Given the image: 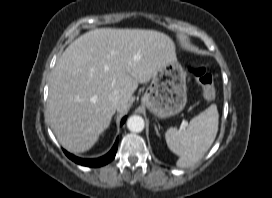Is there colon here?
<instances>
[{"label": "colon", "instance_id": "obj_1", "mask_svg": "<svg viewBox=\"0 0 272 198\" xmlns=\"http://www.w3.org/2000/svg\"><path fill=\"white\" fill-rule=\"evenodd\" d=\"M190 73L200 86L201 94L207 101L215 98V88L212 74L202 65L194 64L190 67Z\"/></svg>", "mask_w": 272, "mask_h": 198}]
</instances>
